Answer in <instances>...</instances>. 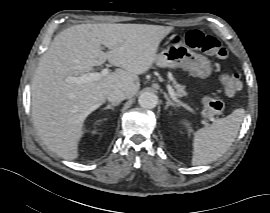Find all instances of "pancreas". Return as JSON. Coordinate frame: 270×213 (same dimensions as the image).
<instances>
[{
  "label": "pancreas",
  "mask_w": 270,
  "mask_h": 213,
  "mask_svg": "<svg viewBox=\"0 0 270 213\" xmlns=\"http://www.w3.org/2000/svg\"><path fill=\"white\" fill-rule=\"evenodd\" d=\"M173 83L176 89V96L182 97V96L187 95V92L185 91V87L183 85L177 84L176 81H174Z\"/></svg>",
  "instance_id": "cf45deb5"
}]
</instances>
